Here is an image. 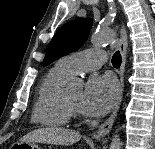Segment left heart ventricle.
<instances>
[{"label":"left heart ventricle","mask_w":155,"mask_h":149,"mask_svg":"<svg viewBox=\"0 0 155 149\" xmlns=\"http://www.w3.org/2000/svg\"><path fill=\"white\" fill-rule=\"evenodd\" d=\"M65 94L69 102L79 109V103L81 100L82 91L81 90H69Z\"/></svg>","instance_id":"obj_1"}]
</instances>
